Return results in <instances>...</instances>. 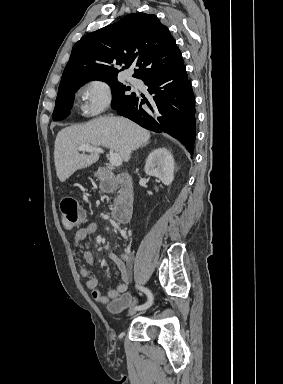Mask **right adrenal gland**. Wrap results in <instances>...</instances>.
<instances>
[{
	"instance_id": "obj_1",
	"label": "right adrenal gland",
	"mask_w": 283,
	"mask_h": 384,
	"mask_svg": "<svg viewBox=\"0 0 283 384\" xmlns=\"http://www.w3.org/2000/svg\"><path fill=\"white\" fill-rule=\"evenodd\" d=\"M143 146H146V144H143ZM138 150H139V148H138Z\"/></svg>"
}]
</instances>
